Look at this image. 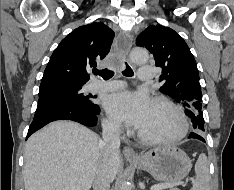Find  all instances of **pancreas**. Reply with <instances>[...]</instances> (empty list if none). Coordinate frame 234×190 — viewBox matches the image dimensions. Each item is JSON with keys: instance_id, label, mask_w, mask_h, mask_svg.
Returning a JSON list of instances; mask_svg holds the SVG:
<instances>
[{"instance_id": "obj_1", "label": "pancreas", "mask_w": 234, "mask_h": 190, "mask_svg": "<svg viewBox=\"0 0 234 190\" xmlns=\"http://www.w3.org/2000/svg\"><path fill=\"white\" fill-rule=\"evenodd\" d=\"M171 190H179L178 188H173V189H171Z\"/></svg>"}]
</instances>
